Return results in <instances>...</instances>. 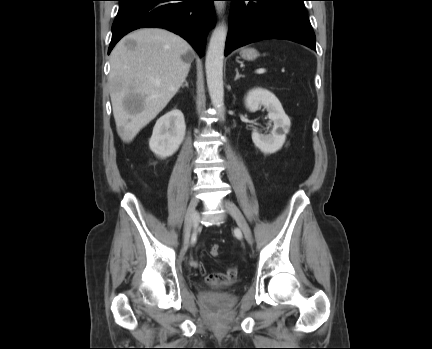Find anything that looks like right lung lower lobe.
<instances>
[{
    "label": "right lung lower lobe",
    "mask_w": 432,
    "mask_h": 349,
    "mask_svg": "<svg viewBox=\"0 0 432 349\" xmlns=\"http://www.w3.org/2000/svg\"><path fill=\"white\" fill-rule=\"evenodd\" d=\"M108 53L127 33L144 27H159L187 40L200 56L204 38L215 23L214 0H118Z\"/></svg>",
    "instance_id": "98d812e1"
}]
</instances>
